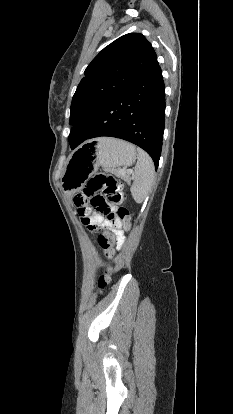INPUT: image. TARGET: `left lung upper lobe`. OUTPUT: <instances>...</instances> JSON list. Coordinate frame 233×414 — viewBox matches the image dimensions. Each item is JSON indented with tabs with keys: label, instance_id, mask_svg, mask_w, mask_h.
I'll return each instance as SVG.
<instances>
[{
	"label": "left lung upper lobe",
	"instance_id": "1",
	"mask_svg": "<svg viewBox=\"0 0 233 414\" xmlns=\"http://www.w3.org/2000/svg\"><path fill=\"white\" fill-rule=\"evenodd\" d=\"M157 61L156 53L139 33L121 36L88 65L71 103L69 124L83 121L108 99L144 75Z\"/></svg>",
	"mask_w": 233,
	"mask_h": 414
}]
</instances>
